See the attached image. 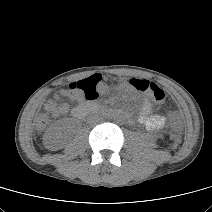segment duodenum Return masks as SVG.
Here are the masks:
<instances>
[{"mask_svg": "<svg viewBox=\"0 0 212 212\" xmlns=\"http://www.w3.org/2000/svg\"><path fill=\"white\" fill-rule=\"evenodd\" d=\"M98 106L92 102L79 104L73 112L76 119H81L86 113L97 108Z\"/></svg>", "mask_w": 212, "mask_h": 212, "instance_id": "obj_1", "label": "duodenum"}]
</instances>
